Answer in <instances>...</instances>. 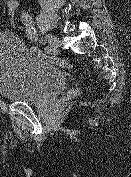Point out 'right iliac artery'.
I'll return each mask as SVG.
<instances>
[{"label": "right iliac artery", "instance_id": "obj_1", "mask_svg": "<svg viewBox=\"0 0 131 177\" xmlns=\"http://www.w3.org/2000/svg\"><path fill=\"white\" fill-rule=\"evenodd\" d=\"M21 20L26 27V33H27L28 37L30 38V40H32L34 42L38 41L37 32L32 24V20H31L30 15L28 14V12L23 11L21 13ZM44 50L46 53H50L52 51L51 47H49V46H46L44 48Z\"/></svg>", "mask_w": 131, "mask_h": 177}]
</instances>
